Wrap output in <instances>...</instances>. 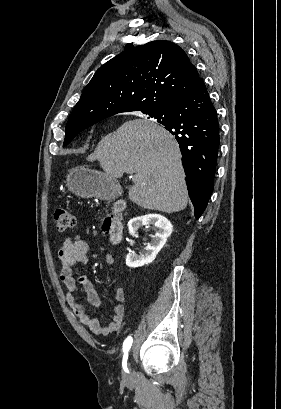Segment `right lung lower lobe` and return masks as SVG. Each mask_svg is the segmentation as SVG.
Returning <instances> with one entry per match:
<instances>
[{
  "instance_id": "right-lung-lower-lobe-1",
  "label": "right lung lower lobe",
  "mask_w": 281,
  "mask_h": 409,
  "mask_svg": "<svg viewBox=\"0 0 281 409\" xmlns=\"http://www.w3.org/2000/svg\"><path fill=\"white\" fill-rule=\"evenodd\" d=\"M148 114L160 120L179 143L188 192L198 219L212 194L220 131L203 80L184 97Z\"/></svg>"
}]
</instances>
